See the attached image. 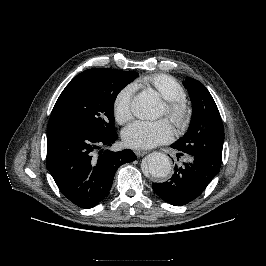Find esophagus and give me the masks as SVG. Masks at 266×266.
Wrapping results in <instances>:
<instances>
[{
    "mask_svg": "<svg viewBox=\"0 0 266 266\" xmlns=\"http://www.w3.org/2000/svg\"><path fill=\"white\" fill-rule=\"evenodd\" d=\"M135 154H136L137 157H142V156H144V155L147 154V151H144V150H136L135 151Z\"/></svg>",
    "mask_w": 266,
    "mask_h": 266,
    "instance_id": "34e87169",
    "label": "esophagus"
}]
</instances>
